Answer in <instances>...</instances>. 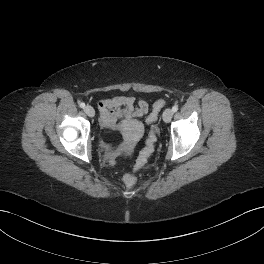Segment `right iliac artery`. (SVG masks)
<instances>
[{"instance_id": "right-iliac-artery-1", "label": "right iliac artery", "mask_w": 264, "mask_h": 264, "mask_svg": "<svg viewBox=\"0 0 264 264\" xmlns=\"http://www.w3.org/2000/svg\"><path fill=\"white\" fill-rule=\"evenodd\" d=\"M79 106H80L81 108H85V103L81 102V103L79 104Z\"/></svg>"}]
</instances>
